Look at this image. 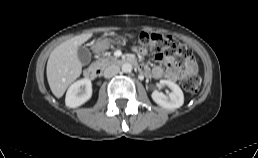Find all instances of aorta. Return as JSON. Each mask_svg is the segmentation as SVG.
<instances>
[{
  "instance_id": "762f6f07",
  "label": "aorta",
  "mask_w": 258,
  "mask_h": 158,
  "mask_svg": "<svg viewBox=\"0 0 258 158\" xmlns=\"http://www.w3.org/2000/svg\"><path fill=\"white\" fill-rule=\"evenodd\" d=\"M122 71H123L124 73H129V72H131V71H132V65H131L130 63H124V64L122 65Z\"/></svg>"
}]
</instances>
